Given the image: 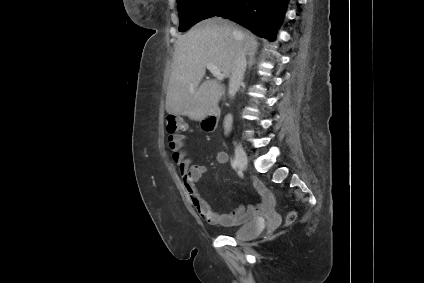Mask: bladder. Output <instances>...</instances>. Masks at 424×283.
<instances>
[{
	"label": "bladder",
	"instance_id": "bladder-1",
	"mask_svg": "<svg viewBox=\"0 0 424 283\" xmlns=\"http://www.w3.org/2000/svg\"><path fill=\"white\" fill-rule=\"evenodd\" d=\"M264 222L259 218H253L233 232L237 240H250L256 238L263 230Z\"/></svg>",
	"mask_w": 424,
	"mask_h": 283
}]
</instances>
